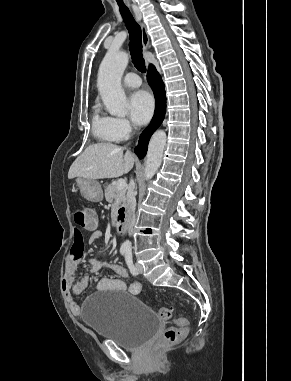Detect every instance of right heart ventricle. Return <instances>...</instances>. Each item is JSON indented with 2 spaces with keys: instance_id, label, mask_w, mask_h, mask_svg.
<instances>
[{
  "instance_id": "right-heart-ventricle-1",
  "label": "right heart ventricle",
  "mask_w": 291,
  "mask_h": 381,
  "mask_svg": "<svg viewBox=\"0 0 291 381\" xmlns=\"http://www.w3.org/2000/svg\"><path fill=\"white\" fill-rule=\"evenodd\" d=\"M92 130L94 135L101 141L118 142L120 140L112 130L109 117L101 114L98 106L93 111Z\"/></svg>"
}]
</instances>
